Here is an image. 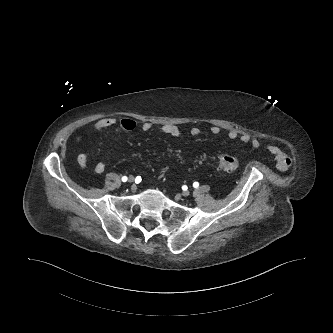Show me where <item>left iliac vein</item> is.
<instances>
[{"label": "left iliac vein", "mask_w": 333, "mask_h": 333, "mask_svg": "<svg viewBox=\"0 0 333 333\" xmlns=\"http://www.w3.org/2000/svg\"><path fill=\"white\" fill-rule=\"evenodd\" d=\"M189 194H190V192L188 190H185L182 192V195L185 197L189 196Z\"/></svg>", "instance_id": "1"}]
</instances>
